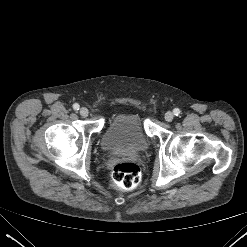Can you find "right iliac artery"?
Returning a JSON list of instances; mask_svg holds the SVG:
<instances>
[{"instance_id":"right-iliac-artery-1","label":"right iliac artery","mask_w":247,"mask_h":247,"mask_svg":"<svg viewBox=\"0 0 247 247\" xmlns=\"http://www.w3.org/2000/svg\"><path fill=\"white\" fill-rule=\"evenodd\" d=\"M79 108H80V106H79V104H77V103H75V104H73V109L74 110H79Z\"/></svg>"}]
</instances>
